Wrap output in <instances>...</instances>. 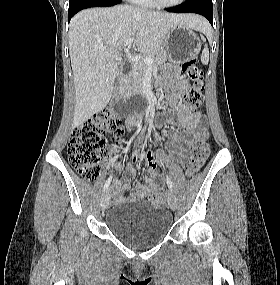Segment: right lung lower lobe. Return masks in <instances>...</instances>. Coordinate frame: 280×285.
<instances>
[{
  "label": "right lung lower lobe",
  "instance_id": "obj_1",
  "mask_svg": "<svg viewBox=\"0 0 280 285\" xmlns=\"http://www.w3.org/2000/svg\"><path fill=\"white\" fill-rule=\"evenodd\" d=\"M121 0H74L69 2V21L80 10L89 7H108L119 4Z\"/></svg>",
  "mask_w": 280,
  "mask_h": 285
}]
</instances>
